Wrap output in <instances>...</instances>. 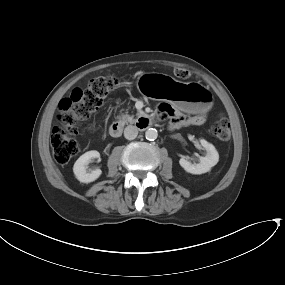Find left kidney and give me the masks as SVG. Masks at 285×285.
<instances>
[{
    "label": "left kidney",
    "instance_id": "1",
    "mask_svg": "<svg viewBox=\"0 0 285 285\" xmlns=\"http://www.w3.org/2000/svg\"><path fill=\"white\" fill-rule=\"evenodd\" d=\"M200 143L204 150L206 151V155L204 157H200L199 163H191L187 160L186 157H182L179 160V164L185 171L191 174H203L209 172L210 169L215 166L219 161V154L215 149L214 145L207 142L205 139H201Z\"/></svg>",
    "mask_w": 285,
    "mask_h": 285
}]
</instances>
